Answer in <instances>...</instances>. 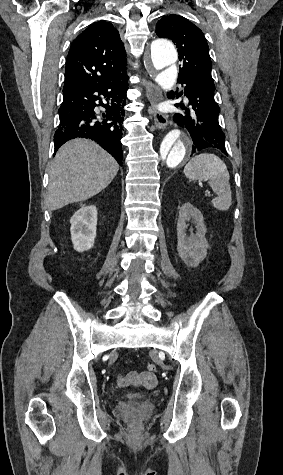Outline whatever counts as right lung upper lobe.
Returning <instances> with one entry per match:
<instances>
[{
  "label": "right lung upper lobe",
  "instance_id": "right-lung-upper-lobe-1",
  "mask_svg": "<svg viewBox=\"0 0 283 475\" xmlns=\"http://www.w3.org/2000/svg\"><path fill=\"white\" fill-rule=\"evenodd\" d=\"M126 51L110 22L91 24L71 44L64 88L111 81L126 75Z\"/></svg>",
  "mask_w": 283,
  "mask_h": 475
}]
</instances>
